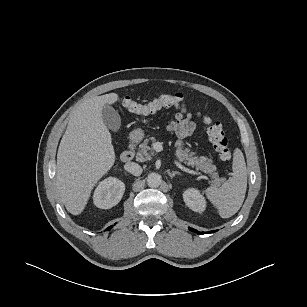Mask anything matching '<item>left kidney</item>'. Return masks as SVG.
<instances>
[{
  "mask_svg": "<svg viewBox=\"0 0 307 307\" xmlns=\"http://www.w3.org/2000/svg\"><path fill=\"white\" fill-rule=\"evenodd\" d=\"M185 204L195 212H203L206 209V200L199 190L189 188L183 193Z\"/></svg>",
  "mask_w": 307,
  "mask_h": 307,
  "instance_id": "obj_1",
  "label": "left kidney"
}]
</instances>
